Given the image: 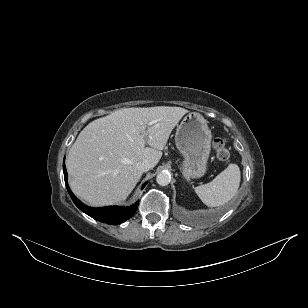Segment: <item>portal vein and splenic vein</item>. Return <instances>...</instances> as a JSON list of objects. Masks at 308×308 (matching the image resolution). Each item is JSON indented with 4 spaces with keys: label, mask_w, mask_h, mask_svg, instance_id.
<instances>
[{
    "label": "portal vein and splenic vein",
    "mask_w": 308,
    "mask_h": 308,
    "mask_svg": "<svg viewBox=\"0 0 308 308\" xmlns=\"http://www.w3.org/2000/svg\"><path fill=\"white\" fill-rule=\"evenodd\" d=\"M154 123H155V121H152V122L149 123V125H152V124H154ZM142 131H143V133H144V132H145V129L143 128Z\"/></svg>",
    "instance_id": "obj_1"
}]
</instances>
